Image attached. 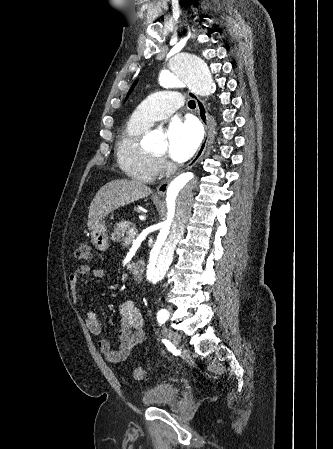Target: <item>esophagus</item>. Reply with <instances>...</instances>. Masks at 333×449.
Instances as JSON below:
<instances>
[{
    "label": "esophagus",
    "mask_w": 333,
    "mask_h": 449,
    "mask_svg": "<svg viewBox=\"0 0 333 449\" xmlns=\"http://www.w3.org/2000/svg\"><path fill=\"white\" fill-rule=\"evenodd\" d=\"M188 94L192 99H194V101L196 103V109H197L198 116L205 128L204 139H203L201 145L199 146L197 153L195 154L193 159L186 166V169H191L198 162V160L201 158V156L204 154L206 147L209 143L210 136H211V122H210V117H209L207 108H206L204 102L200 99V97H198L191 90L188 91ZM169 183H170V180H167V181L162 182L157 187L156 193L158 196H164V194L166 193V190L169 186Z\"/></svg>",
    "instance_id": "esophagus-1"
}]
</instances>
